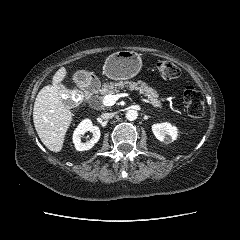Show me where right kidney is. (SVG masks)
<instances>
[{
  "label": "right kidney",
  "instance_id": "right-kidney-1",
  "mask_svg": "<svg viewBox=\"0 0 240 240\" xmlns=\"http://www.w3.org/2000/svg\"><path fill=\"white\" fill-rule=\"evenodd\" d=\"M87 131L92 132L93 137L91 140L82 142L81 136ZM100 129L97 126H93L92 121L90 119H84L80 122L73 133V143L77 151H85L91 149L100 138Z\"/></svg>",
  "mask_w": 240,
  "mask_h": 240
}]
</instances>
